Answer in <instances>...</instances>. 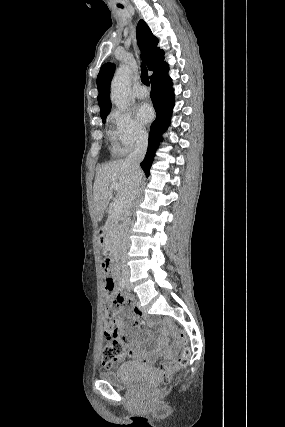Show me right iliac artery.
<instances>
[{
	"label": "right iliac artery",
	"mask_w": 285,
	"mask_h": 427,
	"mask_svg": "<svg viewBox=\"0 0 285 427\" xmlns=\"http://www.w3.org/2000/svg\"><path fill=\"white\" fill-rule=\"evenodd\" d=\"M121 286H122V288H125V281L124 280H122Z\"/></svg>",
	"instance_id": "right-iliac-artery-1"
}]
</instances>
